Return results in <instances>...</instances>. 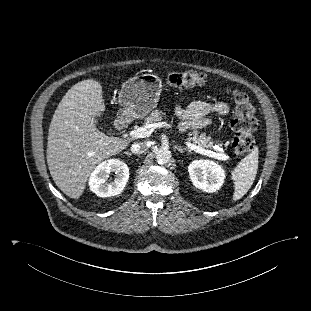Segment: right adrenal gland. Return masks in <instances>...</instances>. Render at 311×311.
Here are the masks:
<instances>
[{
  "label": "right adrenal gland",
  "instance_id": "1",
  "mask_svg": "<svg viewBox=\"0 0 311 311\" xmlns=\"http://www.w3.org/2000/svg\"><path fill=\"white\" fill-rule=\"evenodd\" d=\"M126 155L131 156L132 154L129 152H125Z\"/></svg>",
  "mask_w": 311,
  "mask_h": 311
}]
</instances>
